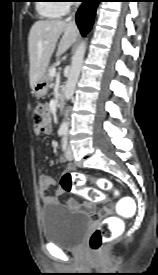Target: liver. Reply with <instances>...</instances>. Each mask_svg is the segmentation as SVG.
I'll use <instances>...</instances> for the list:
<instances>
[{
  "label": "liver",
  "mask_w": 158,
  "mask_h": 275,
  "mask_svg": "<svg viewBox=\"0 0 158 275\" xmlns=\"http://www.w3.org/2000/svg\"><path fill=\"white\" fill-rule=\"evenodd\" d=\"M78 33L74 22L52 19L39 20L32 25L28 37L29 78L32 89L45 75L59 37L63 34L56 52L57 57L64 54L75 43Z\"/></svg>",
  "instance_id": "obj_1"
}]
</instances>
